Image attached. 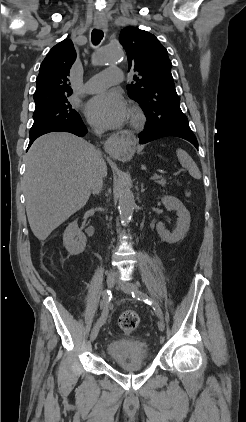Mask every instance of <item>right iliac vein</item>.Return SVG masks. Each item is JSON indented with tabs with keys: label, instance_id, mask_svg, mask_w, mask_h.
<instances>
[{
	"label": "right iliac vein",
	"instance_id": "obj_1",
	"mask_svg": "<svg viewBox=\"0 0 246 422\" xmlns=\"http://www.w3.org/2000/svg\"><path fill=\"white\" fill-rule=\"evenodd\" d=\"M116 283V276L113 273H110L107 277V286L109 288H113L114 285ZM100 326L99 325H95L92 332H91V340L94 341L97 336H98V332H99Z\"/></svg>",
	"mask_w": 246,
	"mask_h": 422
}]
</instances>
